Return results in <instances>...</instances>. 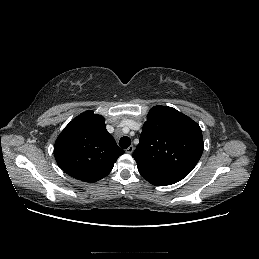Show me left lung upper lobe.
<instances>
[{"mask_svg":"<svg viewBox=\"0 0 259 259\" xmlns=\"http://www.w3.org/2000/svg\"><path fill=\"white\" fill-rule=\"evenodd\" d=\"M204 149L200 126L168 106H154L133 153L138 169L172 182L186 177Z\"/></svg>","mask_w":259,"mask_h":259,"instance_id":"left-lung-upper-lobe-1","label":"left lung upper lobe"}]
</instances>
